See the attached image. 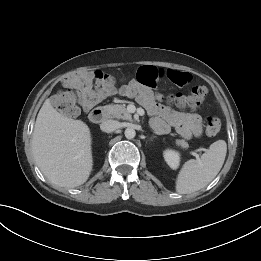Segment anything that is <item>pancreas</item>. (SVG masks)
<instances>
[{"mask_svg":"<svg viewBox=\"0 0 261 261\" xmlns=\"http://www.w3.org/2000/svg\"><path fill=\"white\" fill-rule=\"evenodd\" d=\"M104 109L108 112L109 117L131 120V114L127 111L124 105H106ZM151 125H154V121H151ZM176 144L181 146L183 149H187L189 144L183 139H177Z\"/></svg>","mask_w":261,"mask_h":261,"instance_id":"1","label":"pancreas"}]
</instances>
